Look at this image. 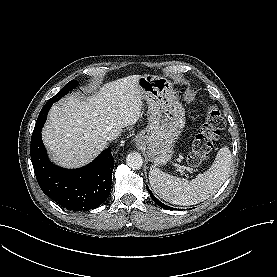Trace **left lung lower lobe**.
Segmentation results:
<instances>
[{
	"label": "left lung lower lobe",
	"mask_w": 277,
	"mask_h": 277,
	"mask_svg": "<svg viewBox=\"0 0 277 277\" xmlns=\"http://www.w3.org/2000/svg\"><path fill=\"white\" fill-rule=\"evenodd\" d=\"M146 188H147V190H148V192H149V194H150L152 200H153L158 206H160V207H162V208H164V209H169L168 206H166L164 203L160 202V201L152 194V192L150 191V189L148 188V186H146Z\"/></svg>",
	"instance_id": "obj_1"
}]
</instances>
